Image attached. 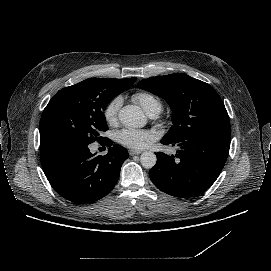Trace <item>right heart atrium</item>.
I'll return each mask as SVG.
<instances>
[{
	"mask_svg": "<svg viewBox=\"0 0 271 271\" xmlns=\"http://www.w3.org/2000/svg\"><path fill=\"white\" fill-rule=\"evenodd\" d=\"M123 103V97L121 94L114 96L103 108V118L107 124L113 125L118 116V112Z\"/></svg>",
	"mask_w": 271,
	"mask_h": 271,
	"instance_id": "1",
	"label": "right heart atrium"
}]
</instances>
